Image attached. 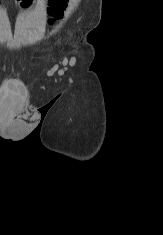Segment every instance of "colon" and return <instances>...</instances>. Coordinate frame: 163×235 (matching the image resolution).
Returning <instances> with one entry per match:
<instances>
[{
    "label": "colon",
    "mask_w": 163,
    "mask_h": 235,
    "mask_svg": "<svg viewBox=\"0 0 163 235\" xmlns=\"http://www.w3.org/2000/svg\"><path fill=\"white\" fill-rule=\"evenodd\" d=\"M23 7H29L33 0H19ZM69 0H48L49 22L55 23L61 20Z\"/></svg>",
    "instance_id": "obj_1"
}]
</instances>
